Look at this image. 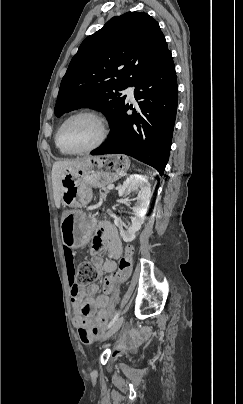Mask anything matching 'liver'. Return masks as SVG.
<instances>
[{
  "instance_id": "obj_1",
  "label": "liver",
  "mask_w": 243,
  "mask_h": 404,
  "mask_svg": "<svg viewBox=\"0 0 243 404\" xmlns=\"http://www.w3.org/2000/svg\"><path fill=\"white\" fill-rule=\"evenodd\" d=\"M84 158H77V160H68V162H55L52 166V186H53V196L56 208L61 206V172L64 168L68 166H78L80 162H83Z\"/></svg>"
}]
</instances>
